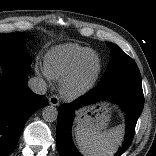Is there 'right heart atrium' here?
Listing matches in <instances>:
<instances>
[{
    "instance_id": "1",
    "label": "right heart atrium",
    "mask_w": 156,
    "mask_h": 156,
    "mask_svg": "<svg viewBox=\"0 0 156 156\" xmlns=\"http://www.w3.org/2000/svg\"><path fill=\"white\" fill-rule=\"evenodd\" d=\"M36 72H37L40 76H42V77H44V78H47V76H48V74L46 73V70H43V69H41V68H39V67L36 68Z\"/></svg>"
}]
</instances>
